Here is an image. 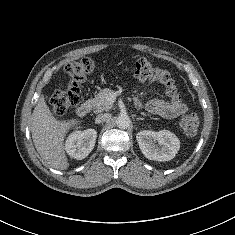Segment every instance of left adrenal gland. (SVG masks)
Wrapping results in <instances>:
<instances>
[{
    "mask_svg": "<svg viewBox=\"0 0 235 235\" xmlns=\"http://www.w3.org/2000/svg\"><path fill=\"white\" fill-rule=\"evenodd\" d=\"M137 120H144V118H141V117H140V118H137Z\"/></svg>",
    "mask_w": 235,
    "mask_h": 235,
    "instance_id": "1",
    "label": "left adrenal gland"
}]
</instances>
